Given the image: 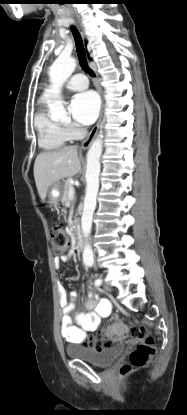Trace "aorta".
Returning a JSON list of instances; mask_svg holds the SVG:
<instances>
[{"label": "aorta", "instance_id": "1", "mask_svg": "<svg viewBox=\"0 0 187 415\" xmlns=\"http://www.w3.org/2000/svg\"><path fill=\"white\" fill-rule=\"evenodd\" d=\"M76 68V60L73 57L60 55L49 68L51 82L50 93L55 97L48 103L49 112L52 118L61 119L67 113L60 97L62 85L72 75ZM103 136L99 135L90 146L87 153L86 166V194L81 218L82 233L86 240L83 251V261L87 265L94 262L93 252L88 239L92 229L93 213L96 208V199L99 190L100 157L103 150Z\"/></svg>", "mask_w": 187, "mask_h": 415}]
</instances>
